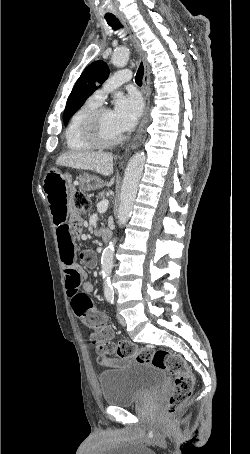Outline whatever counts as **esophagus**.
<instances>
[{"instance_id": "1", "label": "esophagus", "mask_w": 250, "mask_h": 454, "mask_svg": "<svg viewBox=\"0 0 250 454\" xmlns=\"http://www.w3.org/2000/svg\"><path fill=\"white\" fill-rule=\"evenodd\" d=\"M118 18L121 21V23L123 24V26L125 27L126 31L130 34L132 43H133L134 47L136 48V50L138 51V53L140 54V56L142 57L143 63H144L143 94H144L145 108H144L143 118L141 120V123L138 128V132H137V138H140L145 131L148 114H149V98H150V92H151V89H150V65L147 61V54L143 50L140 40L135 35V33H134L130 23L126 19V17L124 15H118Z\"/></svg>"}]
</instances>
